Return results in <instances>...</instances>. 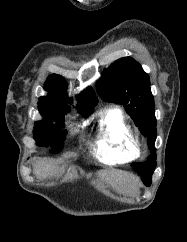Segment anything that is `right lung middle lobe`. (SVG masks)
<instances>
[{
  "label": "right lung middle lobe",
  "mask_w": 187,
  "mask_h": 242,
  "mask_svg": "<svg viewBox=\"0 0 187 242\" xmlns=\"http://www.w3.org/2000/svg\"><path fill=\"white\" fill-rule=\"evenodd\" d=\"M43 118V120L35 122L34 139L38 146H51V152L56 154L62 150L64 145L66 131L61 129L65 119L64 115Z\"/></svg>",
  "instance_id": "dd1d6c3e"
}]
</instances>
